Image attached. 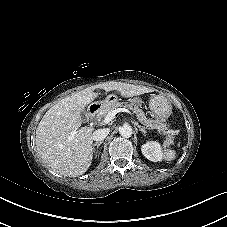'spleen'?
Listing matches in <instances>:
<instances>
[{
  "label": "spleen",
  "mask_w": 227,
  "mask_h": 227,
  "mask_svg": "<svg viewBox=\"0 0 227 227\" xmlns=\"http://www.w3.org/2000/svg\"><path fill=\"white\" fill-rule=\"evenodd\" d=\"M164 158L167 160V161H172L175 159L176 157V154H175V151L174 150H171V149H165L164 150Z\"/></svg>",
  "instance_id": "1"
}]
</instances>
